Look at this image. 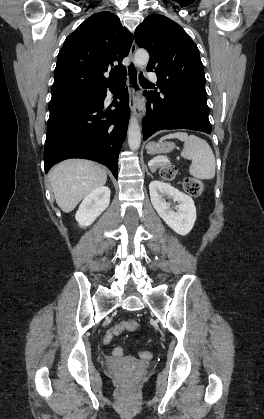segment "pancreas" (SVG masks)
<instances>
[{"instance_id":"pancreas-1","label":"pancreas","mask_w":264,"mask_h":419,"mask_svg":"<svg viewBox=\"0 0 264 419\" xmlns=\"http://www.w3.org/2000/svg\"><path fill=\"white\" fill-rule=\"evenodd\" d=\"M166 165V163L165 162H157V163H155L153 166H152V171H156V169H158V168H160V167H163V166H165Z\"/></svg>"}]
</instances>
